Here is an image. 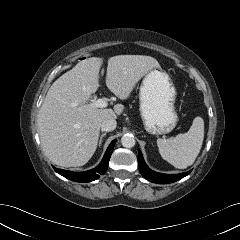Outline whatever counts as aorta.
<instances>
[{"label":"aorta","instance_id":"aorta-1","mask_svg":"<svg viewBox=\"0 0 240 240\" xmlns=\"http://www.w3.org/2000/svg\"><path fill=\"white\" fill-rule=\"evenodd\" d=\"M135 138L133 135L131 134H125L122 138H121V144L123 147L125 148H132L135 146Z\"/></svg>","mask_w":240,"mask_h":240}]
</instances>
